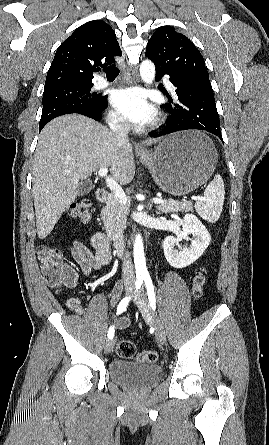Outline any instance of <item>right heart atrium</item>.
Segmentation results:
<instances>
[{
  "instance_id": "right-heart-atrium-1",
  "label": "right heart atrium",
  "mask_w": 269,
  "mask_h": 445,
  "mask_svg": "<svg viewBox=\"0 0 269 445\" xmlns=\"http://www.w3.org/2000/svg\"><path fill=\"white\" fill-rule=\"evenodd\" d=\"M109 125L115 130H125L128 124L124 117L115 110H110L107 115Z\"/></svg>"
}]
</instances>
